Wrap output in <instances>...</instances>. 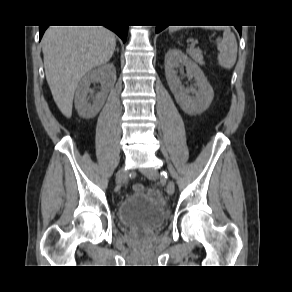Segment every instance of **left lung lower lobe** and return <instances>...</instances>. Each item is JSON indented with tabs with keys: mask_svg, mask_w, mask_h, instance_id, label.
<instances>
[{
	"mask_svg": "<svg viewBox=\"0 0 292 292\" xmlns=\"http://www.w3.org/2000/svg\"><path fill=\"white\" fill-rule=\"evenodd\" d=\"M235 27H236V29L238 30V32L240 33V35H241L242 27H241V26H238V27L235 26ZM164 28H166V26H164V25H157L155 31H156V33H159V32L162 31Z\"/></svg>",
	"mask_w": 292,
	"mask_h": 292,
	"instance_id": "0a47b994",
	"label": "left lung lower lobe"
}]
</instances>
